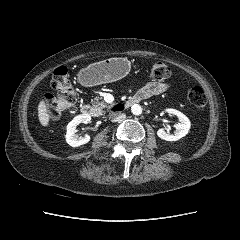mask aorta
<instances>
[{
    "instance_id": "1",
    "label": "aorta",
    "mask_w": 240,
    "mask_h": 240,
    "mask_svg": "<svg viewBox=\"0 0 240 240\" xmlns=\"http://www.w3.org/2000/svg\"><path fill=\"white\" fill-rule=\"evenodd\" d=\"M131 112L133 115H140L142 114V107L139 104H134L131 107Z\"/></svg>"
}]
</instances>
